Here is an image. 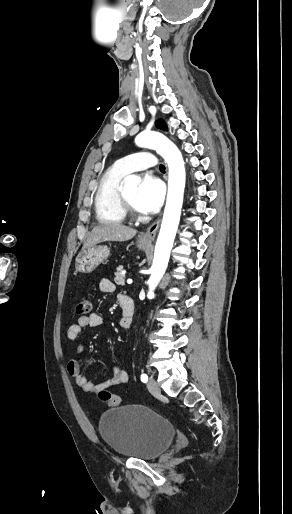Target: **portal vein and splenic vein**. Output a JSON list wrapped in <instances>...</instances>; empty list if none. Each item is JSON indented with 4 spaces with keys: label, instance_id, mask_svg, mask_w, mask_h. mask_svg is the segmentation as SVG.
<instances>
[{
    "label": "portal vein and splenic vein",
    "instance_id": "18ae733b",
    "mask_svg": "<svg viewBox=\"0 0 292 514\" xmlns=\"http://www.w3.org/2000/svg\"><path fill=\"white\" fill-rule=\"evenodd\" d=\"M127 284H132V280H127Z\"/></svg>",
    "mask_w": 292,
    "mask_h": 514
}]
</instances>
